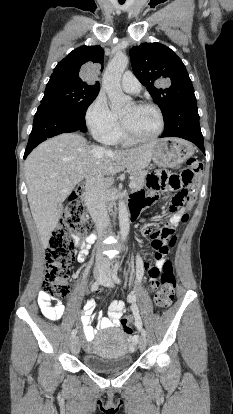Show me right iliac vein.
<instances>
[{"label": "right iliac vein", "mask_w": 233, "mask_h": 414, "mask_svg": "<svg viewBox=\"0 0 233 414\" xmlns=\"http://www.w3.org/2000/svg\"><path fill=\"white\" fill-rule=\"evenodd\" d=\"M102 275H103V270L97 269V270L94 271V277H95V279H97V280L100 279L102 277ZM70 347H71V352L73 354L79 353V351H80V344H79V340H78L77 337L72 338Z\"/></svg>", "instance_id": "63e3f726"}]
</instances>
